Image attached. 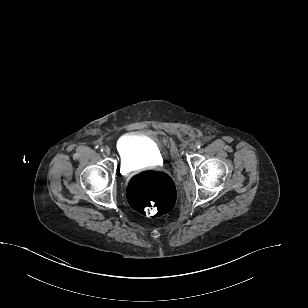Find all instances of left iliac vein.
<instances>
[{"instance_id":"left-iliac-vein-1","label":"left iliac vein","mask_w":308,"mask_h":308,"mask_svg":"<svg viewBox=\"0 0 308 308\" xmlns=\"http://www.w3.org/2000/svg\"><path fill=\"white\" fill-rule=\"evenodd\" d=\"M190 148H191L192 150H196V149H197V145H196V144H191V145H190Z\"/></svg>"}]
</instances>
